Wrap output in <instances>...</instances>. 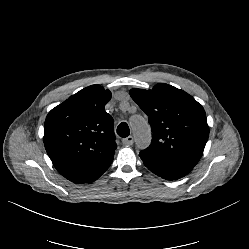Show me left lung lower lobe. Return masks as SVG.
<instances>
[{"label": "left lung lower lobe", "instance_id": "left-lung-lower-lobe-1", "mask_svg": "<svg viewBox=\"0 0 249 249\" xmlns=\"http://www.w3.org/2000/svg\"><path fill=\"white\" fill-rule=\"evenodd\" d=\"M140 157L144 165L150 171L167 180H176L181 177H184L193 169L187 166L174 164L164 159L150 158L146 156Z\"/></svg>", "mask_w": 249, "mask_h": 249}]
</instances>
